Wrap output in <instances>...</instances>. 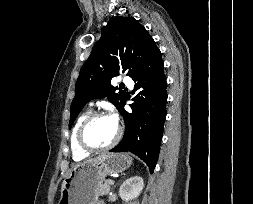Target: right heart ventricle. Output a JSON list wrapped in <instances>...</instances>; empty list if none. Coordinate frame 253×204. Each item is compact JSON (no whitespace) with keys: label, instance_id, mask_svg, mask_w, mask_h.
Returning <instances> with one entry per match:
<instances>
[{"label":"right heart ventricle","instance_id":"e07e8e85","mask_svg":"<svg viewBox=\"0 0 253 204\" xmlns=\"http://www.w3.org/2000/svg\"><path fill=\"white\" fill-rule=\"evenodd\" d=\"M91 113L90 110L88 111H85L84 113H82L74 127H73V130H72V134H71V139H70V145H71V152H72V158L75 160V161H80V160H83L85 159L88 155H89V152L83 150L80 146H79V143H78V130H79V127L80 125L82 124V122L84 121V119Z\"/></svg>","mask_w":253,"mask_h":204}]
</instances>
